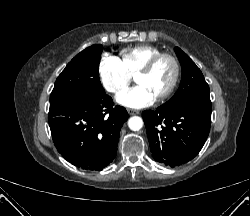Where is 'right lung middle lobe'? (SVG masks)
<instances>
[{"label":"right lung middle lobe","instance_id":"obj_1","mask_svg":"<svg viewBox=\"0 0 250 216\" xmlns=\"http://www.w3.org/2000/svg\"><path fill=\"white\" fill-rule=\"evenodd\" d=\"M102 50V45H92L70 61L56 79L50 95V107L77 94H105L98 75Z\"/></svg>","mask_w":250,"mask_h":216}]
</instances>
